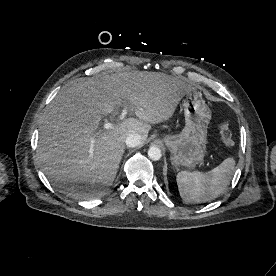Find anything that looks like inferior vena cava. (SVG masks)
Segmentation results:
<instances>
[{"instance_id": "1", "label": "inferior vena cava", "mask_w": 276, "mask_h": 276, "mask_svg": "<svg viewBox=\"0 0 276 276\" xmlns=\"http://www.w3.org/2000/svg\"><path fill=\"white\" fill-rule=\"evenodd\" d=\"M125 143L130 148L139 146L141 144V136L138 133H131L127 136Z\"/></svg>"}]
</instances>
